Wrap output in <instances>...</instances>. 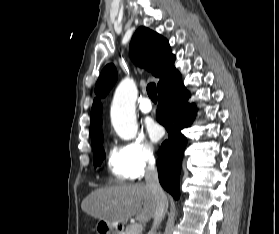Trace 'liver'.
I'll return each mask as SVG.
<instances>
[{"label":"liver","instance_id":"6515ba94","mask_svg":"<svg viewBox=\"0 0 279 234\" xmlns=\"http://www.w3.org/2000/svg\"><path fill=\"white\" fill-rule=\"evenodd\" d=\"M157 201L144 183L116 185L91 192L82 202V210L107 222L124 223L131 217L149 221L155 214Z\"/></svg>","mask_w":279,"mask_h":234}]
</instances>
